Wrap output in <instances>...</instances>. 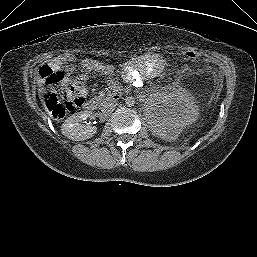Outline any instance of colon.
<instances>
[{"label":"colon","instance_id":"1","mask_svg":"<svg viewBox=\"0 0 257 257\" xmlns=\"http://www.w3.org/2000/svg\"><path fill=\"white\" fill-rule=\"evenodd\" d=\"M184 56L192 62L201 59V54L197 51H185ZM38 76L40 81L47 87L60 82L64 78V74L61 71L49 65L42 66ZM84 81L85 77L80 76L60 95L51 90L46 91L44 94L45 106L53 118L61 119L68 111H72L84 103L86 96Z\"/></svg>","mask_w":257,"mask_h":257}]
</instances>
